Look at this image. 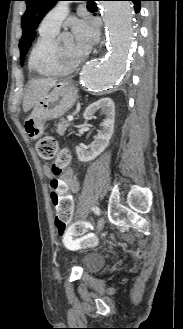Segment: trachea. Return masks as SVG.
<instances>
[{
  "mask_svg": "<svg viewBox=\"0 0 183 329\" xmlns=\"http://www.w3.org/2000/svg\"><path fill=\"white\" fill-rule=\"evenodd\" d=\"M91 5H93L92 3H88V6H91Z\"/></svg>",
  "mask_w": 183,
  "mask_h": 329,
  "instance_id": "trachea-1",
  "label": "trachea"
}]
</instances>
